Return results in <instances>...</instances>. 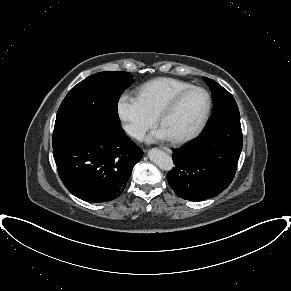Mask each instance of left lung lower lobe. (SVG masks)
I'll return each instance as SVG.
<instances>
[{
  "label": "left lung lower lobe",
  "instance_id": "left-lung-lower-lobe-1",
  "mask_svg": "<svg viewBox=\"0 0 291 291\" xmlns=\"http://www.w3.org/2000/svg\"><path fill=\"white\" fill-rule=\"evenodd\" d=\"M243 145L240 124H220L189 145L173 150L175 167L167 174L181 198L198 201L214 197L232 182Z\"/></svg>",
  "mask_w": 291,
  "mask_h": 291
}]
</instances>
